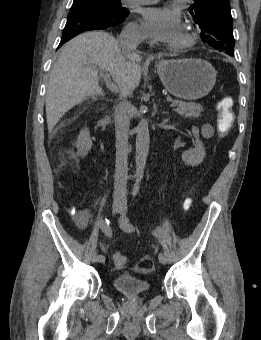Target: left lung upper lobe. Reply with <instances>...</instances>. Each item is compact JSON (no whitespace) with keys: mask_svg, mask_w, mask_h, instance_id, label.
<instances>
[{"mask_svg":"<svg viewBox=\"0 0 261 340\" xmlns=\"http://www.w3.org/2000/svg\"><path fill=\"white\" fill-rule=\"evenodd\" d=\"M189 12L200 27L201 38L205 43L220 52L234 53L229 0H194Z\"/></svg>","mask_w":261,"mask_h":340,"instance_id":"1","label":"left lung upper lobe"}]
</instances>
